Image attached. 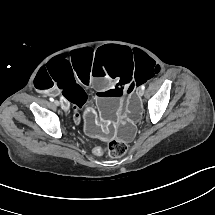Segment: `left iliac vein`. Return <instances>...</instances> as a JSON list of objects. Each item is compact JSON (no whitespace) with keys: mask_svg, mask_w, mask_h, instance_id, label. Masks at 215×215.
Instances as JSON below:
<instances>
[{"mask_svg":"<svg viewBox=\"0 0 215 215\" xmlns=\"http://www.w3.org/2000/svg\"><path fill=\"white\" fill-rule=\"evenodd\" d=\"M144 94V90L140 87L138 91V96L141 97Z\"/></svg>","mask_w":215,"mask_h":215,"instance_id":"4c4485c4","label":"left iliac vein"}]
</instances>
